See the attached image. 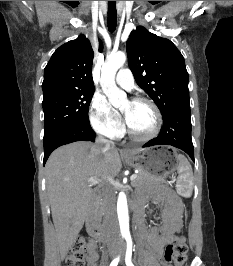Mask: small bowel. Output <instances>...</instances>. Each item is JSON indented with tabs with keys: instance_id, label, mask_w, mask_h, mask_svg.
Masks as SVG:
<instances>
[{
	"instance_id": "c3829d8e",
	"label": "small bowel",
	"mask_w": 233,
	"mask_h": 266,
	"mask_svg": "<svg viewBox=\"0 0 233 266\" xmlns=\"http://www.w3.org/2000/svg\"><path fill=\"white\" fill-rule=\"evenodd\" d=\"M151 201L161 210L162 225L148 228L142 215L136 224L141 240L149 246L151 252L158 259H161L165 245L170 243L175 234L182 228L183 204L181 199L167 188L154 195ZM146 202V198H141L136 203L141 208L142 213ZM97 247L98 243L95 240L88 243V263L90 266H95L98 262Z\"/></svg>"
}]
</instances>
